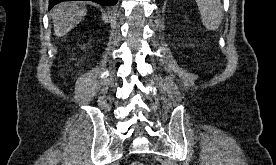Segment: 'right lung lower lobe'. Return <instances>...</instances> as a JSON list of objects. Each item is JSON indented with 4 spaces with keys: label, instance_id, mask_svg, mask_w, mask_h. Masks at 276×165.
Listing matches in <instances>:
<instances>
[{
    "label": "right lung lower lobe",
    "instance_id": "right-lung-lower-lobe-1",
    "mask_svg": "<svg viewBox=\"0 0 276 165\" xmlns=\"http://www.w3.org/2000/svg\"><path fill=\"white\" fill-rule=\"evenodd\" d=\"M63 1H71V0H49V9H51L55 4H58ZM88 1H93L106 6H112V5H115L118 0H88Z\"/></svg>",
    "mask_w": 276,
    "mask_h": 165
}]
</instances>
